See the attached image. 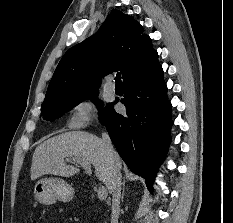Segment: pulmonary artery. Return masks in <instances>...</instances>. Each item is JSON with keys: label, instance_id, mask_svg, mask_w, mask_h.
I'll list each match as a JSON object with an SVG mask.
<instances>
[{"label": "pulmonary artery", "instance_id": "obj_1", "mask_svg": "<svg viewBox=\"0 0 233 223\" xmlns=\"http://www.w3.org/2000/svg\"><path fill=\"white\" fill-rule=\"evenodd\" d=\"M112 80H113V77L109 76L108 77V83L106 85L107 91H109L111 93L115 92V85H114V83H112Z\"/></svg>", "mask_w": 233, "mask_h": 223}]
</instances>
